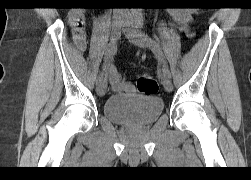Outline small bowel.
I'll return each instance as SVG.
<instances>
[{
  "label": "small bowel",
  "mask_w": 251,
  "mask_h": 180,
  "mask_svg": "<svg viewBox=\"0 0 251 180\" xmlns=\"http://www.w3.org/2000/svg\"><path fill=\"white\" fill-rule=\"evenodd\" d=\"M169 15L177 21L180 30L183 31L188 37L193 36V32L190 29V21L192 19V11L184 9H172L169 11ZM69 24L72 29V39L76 48L80 51L86 49V32H87V20L84 11L74 10L69 14ZM108 64V63H107ZM110 81L112 89L117 92L134 93L135 88L130 83L125 82L124 78L116 73L110 72Z\"/></svg>",
  "instance_id": "c3829d8e"
}]
</instances>
